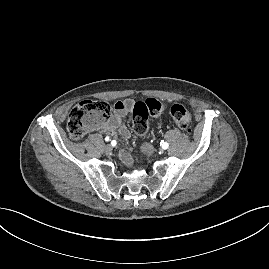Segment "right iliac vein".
I'll use <instances>...</instances> for the list:
<instances>
[{"instance_id":"right-iliac-vein-1","label":"right iliac vein","mask_w":269,"mask_h":269,"mask_svg":"<svg viewBox=\"0 0 269 269\" xmlns=\"http://www.w3.org/2000/svg\"><path fill=\"white\" fill-rule=\"evenodd\" d=\"M104 150H105L106 153H110V152H112V147H111V145H109V144L105 145Z\"/></svg>"}]
</instances>
